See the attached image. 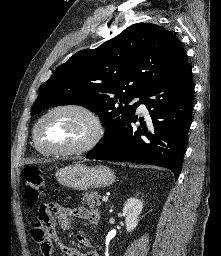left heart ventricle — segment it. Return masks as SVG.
Segmentation results:
<instances>
[{"label": "left heart ventricle", "mask_w": 221, "mask_h": 256, "mask_svg": "<svg viewBox=\"0 0 221 256\" xmlns=\"http://www.w3.org/2000/svg\"><path fill=\"white\" fill-rule=\"evenodd\" d=\"M91 131V123L83 114L65 110L52 114L42 123L39 138L48 148H70L83 143Z\"/></svg>", "instance_id": "1"}]
</instances>
